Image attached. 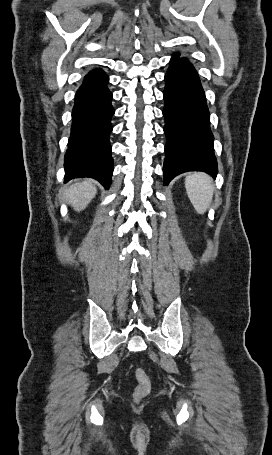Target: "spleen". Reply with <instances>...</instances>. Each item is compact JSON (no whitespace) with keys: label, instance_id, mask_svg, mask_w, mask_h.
Returning a JSON list of instances; mask_svg holds the SVG:
<instances>
[{"label":"spleen","instance_id":"3e777b00","mask_svg":"<svg viewBox=\"0 0 272 455\" xmlns=\"http://www.w3.org/2000/svg\"><path fill=\"white\" fill-rule=\"evenodd\" d=\"M187 195L199 214H204L213 199L214 184L209 175L191 173L185 179Z\"/></svg>","mask_w":272,"mask_h":455}]
</instances>
